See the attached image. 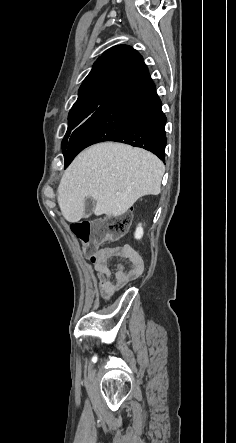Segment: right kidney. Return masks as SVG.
<instances>
[{"mask_svg":"<svg viewBox=\"0 0 236 443\" xmlns=\"http://www.w3.org/2000/svg\"><path fill=\"white\" fill-rule=\"evenodd\" d=\"M142 236H143V228H142L141 224H139L136 231H135V238L141 239Z\"/></svg>","mask_w":236,"mask_h":443,"instance_id":"1","label":"right kidney"}]
</instances>
